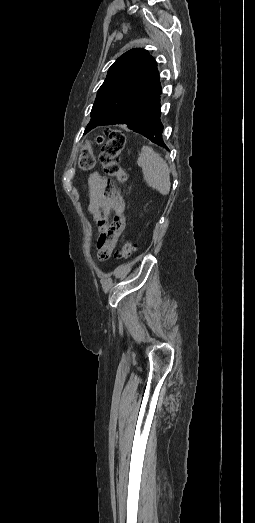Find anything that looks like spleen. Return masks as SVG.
<instances>
[{"instance_id": "3e777b00", "label": "spleen", "mask_w": 255, "mask_h": 523, "mask_svg": "<svg viewBox=\"0 0 255 523\" xmlns=\"http://www.w3.org/2000/svg\"><path fill=\"white\" fill-rule=\"evenodd\" d=\"M137 164L139 168H142L144 180L148 186L160 192L162 196L169 194L171 188L169 168L160 154H156L149 146H143L139 152Z\"/></svg>"}]
</instances>
